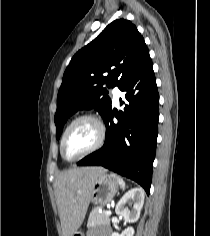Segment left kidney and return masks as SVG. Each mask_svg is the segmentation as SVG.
Returning <instances> with one entry per match:
<instances>
[{"label":"left kidney","mask_w":210,"mask_h":236,"mask_svg":"<svg viewBox=\"0 0 210 236\" xmlns=\"http://www.w3.org/2000/svg\"><path fill=\"white\" fill-rule=\"evenodd\" d=\"M144 191L141 188L135 187L126 192L116 205L115 213L123 217L126 222L132 223L139 219L141 209L144 203ZM126 204H133L129 210ZM133 227H127L121 234L114 232L112 236H133Z\"/></svg>","instance_id":"5707ae66"}]
</instances>
